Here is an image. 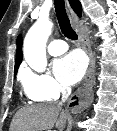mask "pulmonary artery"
<instances>
[{
  "mask_svg": "<svg viewBox=\"0 0 117 131\" xmlns=\"http://www.w3.org/2000/svg\"><path fill=\"white\" fill-rule=\"evenodd\" d=\"M48 52L52 56H58L65 53L68 50V45L65 41L56 39L49 43Z\"/></svg>",
  "mask_w": 117,
  "mask_h": 131,
  "instance_id": "e3ab8cb5",
  "label": "pulmonary artery"
}]
</instances>
